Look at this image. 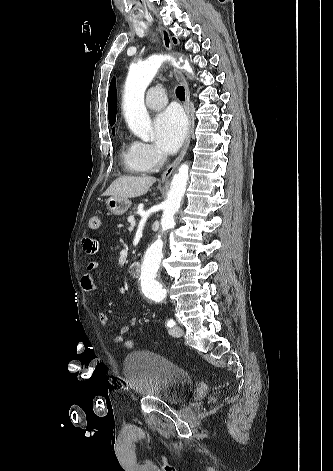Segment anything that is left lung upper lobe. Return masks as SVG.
<instances>
[{"label": "left lung upper lobe", "mask_w": 333, "mask_h": 471, "mask_svg": "<svg viewBox=\"0 0 333 471\" xmlns=\"http://www.w3.org/2000/svg\"><path fill=\"white\" fill-rule=\"evenodd\" d=\"M173 41L176 43V40H175V39H173Z\"/></svg>", "instance_id": "1"}]
</instances>
